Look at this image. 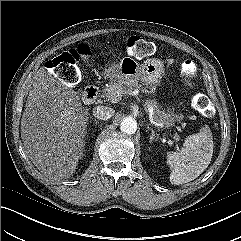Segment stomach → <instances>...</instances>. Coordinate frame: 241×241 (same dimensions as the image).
I'll use <instances>...</instances> for the list:
<instances>
[{
    "label": "stomach",
    "instance_id": "1",
    "mask_svg": "<svg viewBox=\"0 0 241 241\" xmlns=\"http://www.w3.org/2000/svg\"><path fill=\"white\" fill-rule=\"evenodd\" d=\"M164 75V67L157 59H147L139 65L136 61L124 60L120 63L117 80L124 87H135L138 82L150 89L156 87Z\"/></svg>",
    "mask_w": 241,
    "mask_h": 241
}]
</instances>
